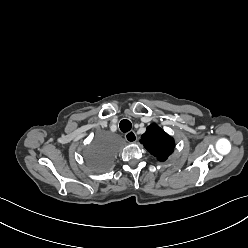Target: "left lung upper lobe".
I'll return each mask as SVG.
<instances>
[{
	"instance_id": "obj_1",
	"label": "left lung upper lobe",
	"mask_w": 248,
	"mask_h": 248,
	"mask_svg": "<svg viewBox=\"0 0 248 248\" xmlns=\"http://www.w3.org/2000/svg\"><path fill=\"white\" fill-rule=\"evenodd\" d=\"M140 142L160 161H165L175 147L173 138L155 123L147 127V131L141 136Z\"/></svg>"
}]
</instances>
